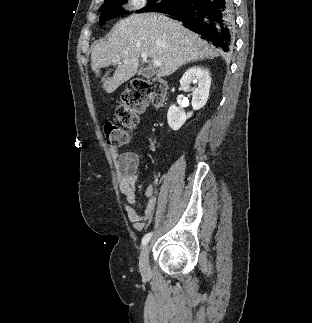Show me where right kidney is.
<instances>
[{"instance_id":"1","label":"right kidney","mask_w":312,"mask_h":323,"mask_svg":"<svg viewBox=\"0 0 312 323\" xmlns=\"http://www.w3.org/2000/svg\"><path fill=\"white\" fill-rule=\"evenodd\" d=\"M190 84H196L191 88ZM180 86L184 88L185 92H192V108L193 110H200L205 106L209 98V90L211 86V78L207 68L203 66H192L180 80ZM192 112L185 114L182 108L177 106H170L167 114V122L171 130H180L187 118H191Z\"/></svg>"}]
</instances>
